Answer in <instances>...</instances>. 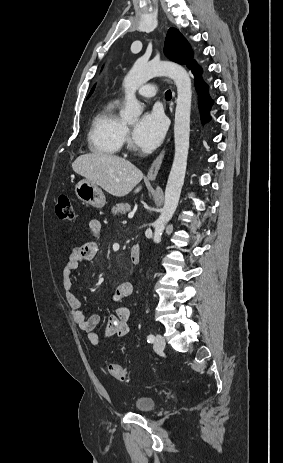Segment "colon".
<instances>
[{
	"mask_svg": "<svg viewBox=\"0 0 283 463\" xmlns=\"http://www.w3.org/2000/svg\"><path fill=\"white\" fill-rule=\"evenodd\" d=\"M56 214L60 220H72L74 218V210L72 205V200L67 195H61L58 198V203L56 206ZM109 374L116 380L121 382H127L128 378L124 368L115 363L108 365Z\"/></svg>",
	"mask_w": 283,
	"mask_h": 463,
	"instance_id": "1",
	"label": "colon"
}]
</instances>
